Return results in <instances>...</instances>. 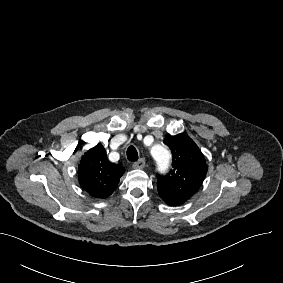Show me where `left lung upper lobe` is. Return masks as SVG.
<instances>
[{"label":"left lung upper lobe","mask_w":283,"mask_h":283,"mask_svg":"<svg viewBox=\"0 0 283 283\" xmlns=\"http://www.w3.org/2000/svg\"><path fill=\"white\" fill-rule=\"evenodd\" d=\"M164 143L173 157V169L165 176L157 175L160 197L169 205L186 202L196 191L207 173L204 156L194 141L184 135L168 136Z\"/></svg>","instance_id":"1"}]
</instances>
